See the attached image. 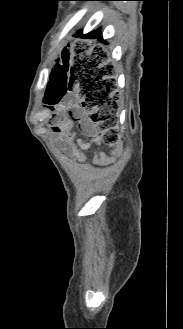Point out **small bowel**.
<instances>
[{
    "label": "small bowel",
    "instance_id": "c3829d8e",
    "mask_svg": "<svg viewBox=\"0 0 183 329\" xmlns=\"http://www.w3.org/2000/svg\"><path fill=\"white\" fill-rule=\"evenodd\" d=\"M74 117L79 121L82 130L91 136V141H85L83 139H76V134L72 129L73 121H66L56 132L61 137L64 144V150L70 153L72 156L80 161L86 159L85 151L89 150L92 144H100L97 131L93 123L89 118L79 109H75ZM94 161L97 164L104 163L106 161L105 154L102 151L94 152Z\"/></svg>",
    "mask_w": 183,
    "mask_h": 329
}]
</instances>
